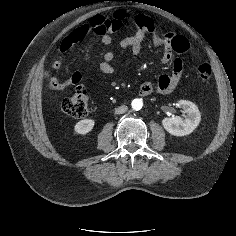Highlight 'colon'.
<instances>
[{
	"label": "colon",
	"mask_w": 236,
	"mask_h": 236,
	"mask_svg": "<svg viewBox=\"0 0 236 236\" xmlns=\"http://www.w3.org/2000/svg\"><path fill=\"white\" fill-rule=\"evenodd\" d=\"M145 18L146 16L143 15L130 17L125 12H118L110 19L97 16L94 17L90 23L77 28L71 35H73V41L77 42L89 31L92 30L95 32L96 28H100L105 32H118L128 28L131 20L137 24ZM211 75L212 69L209 64H202L197 68V77L201 82H208ZM89 100L88 91L84 88H78L74 94L62 100L61 109L68 116L80 119L85 117L88 113Z\"/></svg>",
	"instance_id": "colon-1"
}]
</instances>
